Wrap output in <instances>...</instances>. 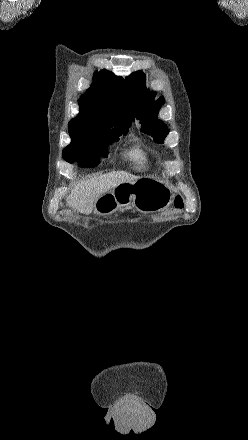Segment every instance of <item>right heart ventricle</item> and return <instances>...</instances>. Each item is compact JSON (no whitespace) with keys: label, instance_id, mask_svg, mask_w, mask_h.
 I'll use <instances>...</instances> for the list:
<instances>
[{"label":"right heart ventricle","instance_id":"right-heart-ventricle-1","mask_svg":"<svg viewBox=\"0 0 248 440\" xmlns=\"http://www.w3.org/2000/svg\"><path fill=\"white\" fill-rule=\"evenodd\" d=\"M127 158L139 170H143L147 167L148 164L147 155L145 152H143L141 149L137 147L131 149L128 152Z\"/></svg>","mask_w":248,"mask_h":440}]
</instances>
